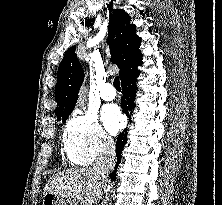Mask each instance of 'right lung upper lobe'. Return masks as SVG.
I'll return each mask as SVG.
<instances>
[{"label": "right lung upper lobe", "instance_id": "cb5924a9", "mask_svg": "<svg viewBox=\"0 0 222 205\" xmlns=\"http://www.w3.org/2000/svg\"><path fill=\"white\" fill-rule=\"evenodd\" d=\"M131 17L121 9L114 10L110 17L108 44L111 61L120 68L121 81L135 73L142 64L139 47L141 38L136 35V26L130 23ZM84 79L82 66L75 54V46L69 48L59 65L55 99L57 119L68 118L78 99V93Z\"/></svg>", "mask_w": 222, "mask_h": 205}]
</instances>
